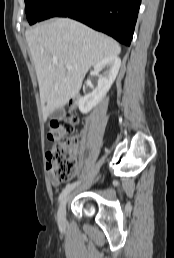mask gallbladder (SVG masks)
Segmentation results:
<instances>
[{"instance_id": "obj_1", "label": "gallbladder", "mask_w": 174, "mask_h": 258, "mask_svg": "<svg viewBox=\"0 0 174 258\" xmlns=\"http://www.w3.org/2000/svg\"><path fill=\"white\" fill-rule=\"evenodd\" d=\"M63 115H64L63 108H58L53 113H51L49 115V117H50V119H54V118H61V117H63Z\"/></svg>"}]
</instances>
